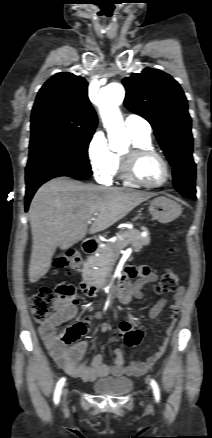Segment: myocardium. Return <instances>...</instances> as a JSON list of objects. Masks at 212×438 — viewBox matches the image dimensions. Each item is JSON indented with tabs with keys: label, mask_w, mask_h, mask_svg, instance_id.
Instances as JSON below:
<instances>
[{
	"label": "myocardium",
	"mask_w": 212,
	"mask_h": 438,
	"mask_svg": "<svg viewBox=\"0 0 212 438\" xmlns=\"http://www.w3.org/2000/svg\"><path fill=\"white\" fill-rule=\"evenodd\" d=\"M146 156L157 157L164 168L165 177L160 183L151 184L140 180L136 175V165L138 161ZM121 175L122 177L133 184L146 187V188H159L165 186L171 178V170L166 158L154 150L148 147L133 146L127 152L121 155Z\"/></svg>",
	"instance_id": "myocardium-1"
}]
</instances>
